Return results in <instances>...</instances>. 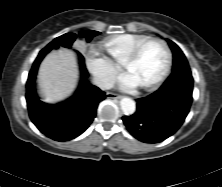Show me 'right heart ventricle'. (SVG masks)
<instances>
[{
	"label": "right heart ventricle",
	"mask_w": 222,
	"mask_h": 187,
	"mask_svg": "<svg viewBox=\"0 0 222 187\" xmlns=\"http://www.w3.org/2000/svg\"><path fill=\"white\" fill-rule=\"evenodd\" d=\"M148 39L145 35L119 34L106 38L103 46L111 59L118 65H122L133 49Z\"/></svg>",
	"instance_id": "obj_1"
}]
</instances>
